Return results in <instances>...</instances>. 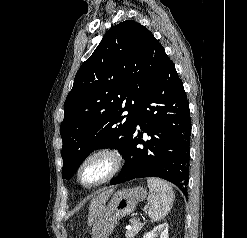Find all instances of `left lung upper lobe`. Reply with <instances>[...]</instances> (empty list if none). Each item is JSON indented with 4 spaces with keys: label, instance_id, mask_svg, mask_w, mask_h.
<instances>
[{
    "label": "left lung upper lobe",
    "instance_id": "obj_1",
    "mask_svg": "<svg viewBox=\"0 0 247 238\" xmlns=\"http://www.w3.org/2000/svg\"><path fill=\"white\" fill-rule=\"evenodd\" d=\"M167 57L153 34L133 20L107 31L77 72L64 103L63 179L96 149L124 154L137 112ZM124 111L128 115L122 116Z\"/></svg>",
    "mask_w": 247,
    "mask_h": 238
}]
</instances>
